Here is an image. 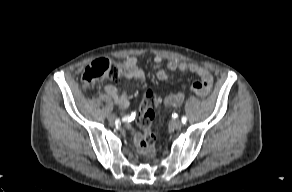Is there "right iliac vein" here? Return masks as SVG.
Listing matches in <instances>:
<instances>
[{"label": "right iliac vein", "instance_id": "1", "mask_svg": "<svg viewBox=\"0 0 292 192\" xmlns=\"http://www.w3.org/2000/svg\"><path fill=\"white\" fill-rule=\"evenodd\" d=\"M108 120H109V122H114L116 120V117L114 115L110 114L108 116Z\"/></svg>", "mask_w": 292, "mask_h": 192}]
</instances>
